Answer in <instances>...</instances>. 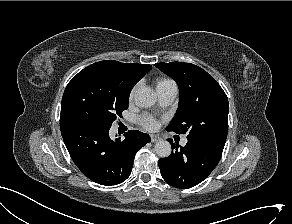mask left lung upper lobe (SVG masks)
Returning <instances> with one entry per match:
<instances>
[{
  "label": "left lung upper lobe",
  "instance_id": "obj_1",
  "mask_svg": "<svg viewBox=\"0 0 292 224\" xmlns=\"http://www.w3.org/2000/svg\"><path fill=\"white\" fill-rule=\"evenodd\" d=\"M155 66L173 78L179 106L167 130L188 133L187 139L223 149L228 132V99L217 81L202 68L183 62Z\"/></svg>",
  "mask_w": 292,
  "mask_h": 224
}]
</instances>
